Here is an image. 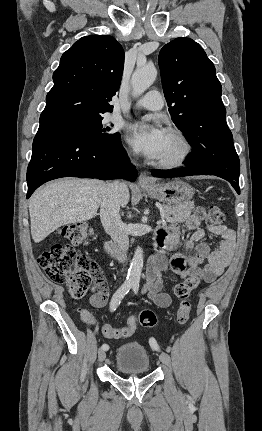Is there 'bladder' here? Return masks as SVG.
I'll return each mask as SVG.
<instances>
[{"label": "bladder", "instance_id": "1", "mask_svg": "<svg viewBox=\"0 0 262 431\" xmlns=\"http://www.w3.org/2000/svg\"><path fill=\"white\" fill-rule=\"evenodd\" d=\"M116 366L124 373L145 374L149 370V355L139 342L121 344L116 350Z\"/></svg>", "mask_w": 262, "mask_h": 431}]
</instances>
